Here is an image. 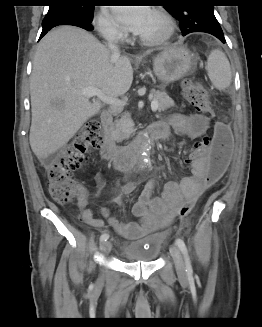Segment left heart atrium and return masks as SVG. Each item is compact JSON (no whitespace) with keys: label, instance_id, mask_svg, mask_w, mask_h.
Instances as JSON below:
<instances>
[{"label":"left heart atrium","instance_id":"left-heart-atrium-1","mask_svg":"<svg viewBox=\"0 0 262 327\" xmlns=\"http://www.w3.org/2000/svg\"><path fill=\"white\" fill-rule=\"evenodd\" d=\"M151 10L139 5L119 6L113 8L115 19L126 29L139 33L148 20Z\"/></svg>","mask_w":262,"mask_h":327}]
</instances>
